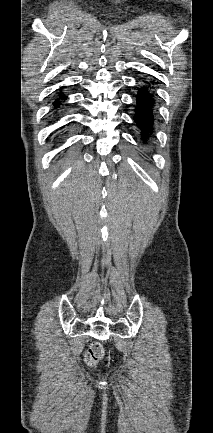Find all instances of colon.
<instances>
[{"mask_svg":"<svg viewBox=\"0 0 213 433\" xmlns=\"http://www.w3.org/2000/svg\"><path fill=\"white\" fill-rule=\"evenodd\" d=\"M104 357V348L100 343H93L85 354V361L89 366H95Z\"/></svg>","mask_w":213,"mask_h":433,"instance_id":"1","label":"colon"}]
</instances>
